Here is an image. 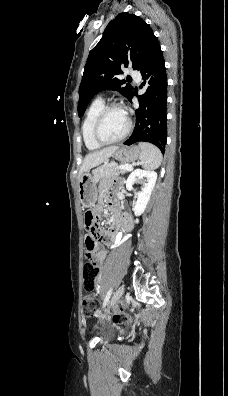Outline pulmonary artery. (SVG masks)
Here are the masks:
<instances>
[{
  "instance_id": "1",
  "label": "pulmonary artery",
  "mask_w": 228,
  "mask_h": 396,
  "mask_svg": "<svg viewBox=\"0 0 228 396\" xmlns=\"http://www.w3.org/2000/svg\"><path fill=\"white\" fill-rule=\"evenodd\" d=\"M131 76L133 77V78H135L136 80H140V77H141V75H140V72L139 71H137V70H133V71H131Z\"/></svg>"
}]
</instances>
